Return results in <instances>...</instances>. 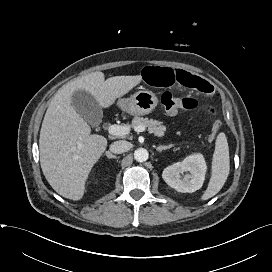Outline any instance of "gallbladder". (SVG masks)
<instances>
[{
	"instance_id": "gallbladder-1",
	"label": "gallbladder",
	"mask_w": 272,
	"mask_h": 272,
	"mask_svg": "<svg viewBox=\"0 0 272 272\" xmlns=\"http://www.w3.org/2000/svg\"><path fill=\"white\" fill-rule=\"evenodd\" d=\"M72 106L91 125L97 126L102 119V110L96 99L85 90H77L72 96Z\"/></svg>"
}]
</instances>
